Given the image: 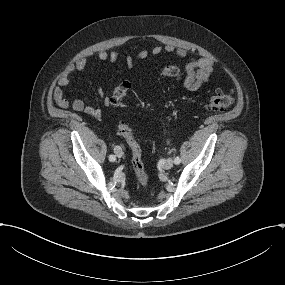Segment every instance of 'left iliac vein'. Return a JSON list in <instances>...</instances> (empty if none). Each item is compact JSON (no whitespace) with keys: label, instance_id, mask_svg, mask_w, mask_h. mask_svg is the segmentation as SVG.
I'll use <instances>...</instances> for the list:
<instances>
[{"label":"left iliac vein","instance_id":"left-iliac-vein-1","mask_svg":"<svg viewBox=\"0 0 285 285\" xmlns=\"http://www.w3.org/2000/svg\"><path fill=\"white\" fill-rule=\"evenodd\" d=\"M173 166V161L171 158L166 159L165 164H164V168L165 169H171Z\"/></svg>","mask_w":285,"mask_h":285}]
</instances>
